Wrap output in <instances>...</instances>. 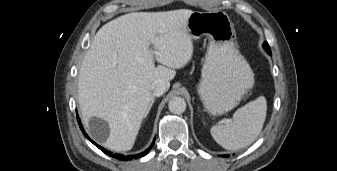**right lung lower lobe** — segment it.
Returning a JSON list of instances; mask_svg holds the SVG:
<instances>
[{"label": "right lung lower lobe", "mask_w": 337, "mask_h": 171, "mask_svg": "<svg viewBox=\"0 0 337 171\" xmlns=\"http://www.w3.org/2000/svg\"><path fill=\"white\" fill-rule=\"evenodd\" d=\"M77 119H78V123H79V125H80V128H81V130H82V132H83V134L94 144V145H96L100 150H102L104 153H106V154H108L109 156H112V157H114V158H116V159H119V160H122V161H127V160H131V159H133V158H140V157H142V156H144V155H146L148 152H149V150L151 149V147H152V145H153V143H152V145H151V147L149 148V149H147L146 151H144L143 153H140V154H138V155H128V156H124V155H121V154H113V153H111V152H109V151H107V150H105L104 148H102L101 146H99V145H97L95 142H93L88 136H87V134L85 133V131L83 130V127H82V125H81V122H80V119H79V117H77Z\"/></svg>", "instance_id": "98d812e1"}]
</instances>
